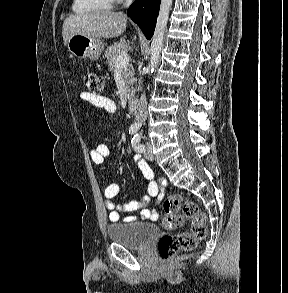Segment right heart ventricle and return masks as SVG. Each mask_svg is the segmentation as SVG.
<instances>
[{"label":"right heart ventricle","instance_id":"e07e8e85","mask_svg":"<svg viewBox=\"0 0 288 293\" xmlns=\"http://www.w3.org/2000/svg\"><path fill=\"white\" fill-rule=\"evenodd\" d=\"M113 0H73L72 10L75 13L84 14L109 10Z\"/></svg>","mask_w":288,"mask_h":293}]
</instances>
